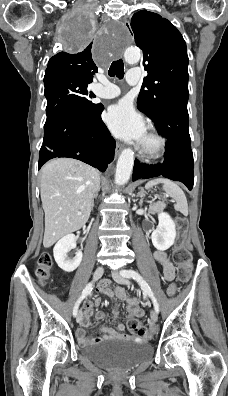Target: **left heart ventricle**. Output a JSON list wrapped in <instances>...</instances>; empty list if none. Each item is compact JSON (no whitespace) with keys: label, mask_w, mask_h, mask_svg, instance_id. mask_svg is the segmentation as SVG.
Listing matches in <instances>:
<instances>
[{"label":"left heart ventricle","mask_w":228,"mask_h":396,"mask_svg":"<svg viewBox=\"0 0 228 396\" xmlns=\"http://www.w3.org/2000/svg\"><path fill=\"white\" fill-rule=\"evenodd\" d=\"M142 143L146 146H152L154 144V140L148 136L147 134L145 135L144 139L142 140Z\"/></svg>","instance_id":"b2bd125f"}]
</instances>
